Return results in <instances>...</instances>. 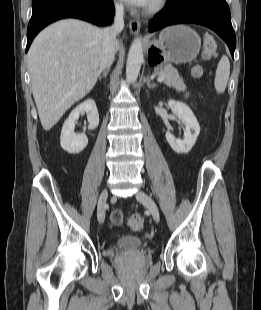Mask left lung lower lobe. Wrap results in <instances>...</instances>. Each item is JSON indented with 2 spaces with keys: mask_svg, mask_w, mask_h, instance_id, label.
I'll use <instances>...</instances> for the list:
<instances>
[{
  "mask_svg": "<svg viewBox=\"0 0 261 310\" xmlns=\"http://www.w3.org/2000/svg\"><path fill=\"white\" fill-rule=\"evenodd\" d=\"M194 23L215 31L228 45L234 58L236 36L226 0H167L165 8L148 24L154 32L173 24Z\"/></svg>",
  "mask_w": 261,
  "mask_h": 310,
  "instance_id": "1",
  "label": "left lung lower lobe"
}]
</instances>
